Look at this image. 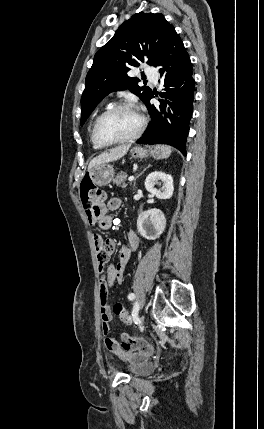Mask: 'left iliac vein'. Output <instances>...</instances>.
Here are the masks:
<instances>
[{
	"instance_id": "left-iliac-vein-1",
	"label": "left iliac vein",
	"mask_w": 264,
	"mask_h": 429,
	"mask_svg": "<svg viewBox=\"0 0 264 429\" xmlns=\"http://www.w3.org/2000/svg\"><path fill=\"white\" fill-rule=\"evenodd\" d=\"M144 313L142 312L140 315H139V320L143 323L145 320H144Z\"/></svg>"
}]
</instances>
